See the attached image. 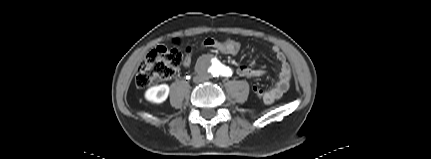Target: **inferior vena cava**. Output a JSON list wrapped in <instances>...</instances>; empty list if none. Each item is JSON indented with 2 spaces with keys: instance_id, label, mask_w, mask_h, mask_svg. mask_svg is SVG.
<instances>
[{
  "instance_id": "inferior-vena-cava-1",
  "label": "inferior vena cava",
  "mask_w": 431,
  "mask_h": 159,
  "mask_svg": "<svg viewBox=\"0 0 431 159\" xmlns=\"http://www.w3.org/2000/svg\"><path fill=\"white\" fill-rule=\"evenodd\" d=\"M207 79V77L205 75H196L193 77V81L195 83H199V82H203Z\"/></svg>"
}]
</instances>
